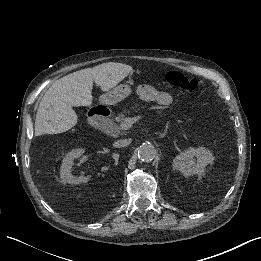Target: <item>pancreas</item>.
Returning a JSON list of instances; mask_svg holds the SVG:
<instances>
[{"instance_id":"obj_1","label":"pancreas","mask_w":261,"mask_h":261,"mask_svg":"<svg viewBox=\"0 0 261 261\" xmlns=\"http://www.w3.org/2000/svg\"><path fill=\"white\" fill-rule=\"evenodd\" d=\"M132 112H134V114H140V109H137V105H132ZM127 114H129L128 111H123L117 119L112 120V123H116L117 125H120V122L125 119V116Z\"/></svg>"}]
</instances>
